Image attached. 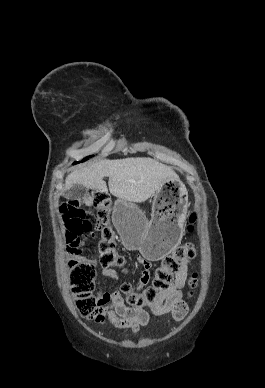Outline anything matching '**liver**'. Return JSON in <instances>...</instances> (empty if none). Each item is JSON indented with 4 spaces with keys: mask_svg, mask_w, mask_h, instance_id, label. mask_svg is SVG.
<instances>
[{
    "mask_svg": "<svg viewBox=\"0 0 265 388\" xmlns=\"http://www.w3.org/2000/svg\"><path fill=\"white\" fill-rule=\"evenodd\" d=\"M104 176L109 178L110 194L127 202H146L155 192L161 190L165 182L179 180L171 168L152 158L100 160L69 174L65 180L64 192L70 190L74 184L108 192Z\"/></svg>",
    "mask_w": 265,
    "mask_h": 388,
    "instance_id": "1",
    "label": "liver"
}]
</instances>
